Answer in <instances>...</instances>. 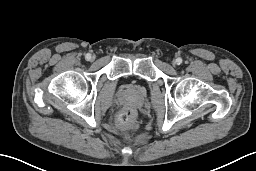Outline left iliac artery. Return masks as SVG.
Returning a JSON list of instances; mask_svg holds the SVG:
<instances>
[{"instance_id":"1","label":"left iliac artery","mask_w":256,"mask_h":171,"mask_svg":"<svg viewBox=\"0 0 256 171\" xmlns=\"http://www.w3.org/2000/svg\"><path fill=\"white\" fill-rule=\"evenodd\" d=\"M182 63V59L181 58H177V64H181Z\"/></svg>"}]
</instances>
